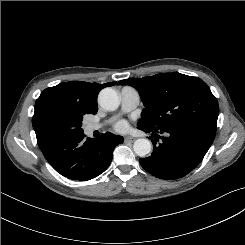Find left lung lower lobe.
I'll list each match as a JSON object with an SVG mask.
<instances>
[{
    "label": "left lung lower lobe",
    "instance_id": "1",
    "mask_svg": "<svg viewBox=\"0 0 245 245\" xmlns=\"http://www.w3.org/2000/svg\"><path fill=\"white\" fill-rule=\"evenodd\" d=\"M150 137L154 145L151 156L140 158L141 166L148 173L160 179L181 178L195 169L202 161L215 138L216 130L198 123L171 125L160 130L141 129ZM156 134H161L156 135Z\"/></svg>",
    "mask_w": 245,
    "mask_h": 245
}]
</instances>
